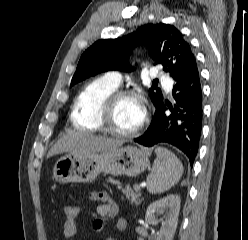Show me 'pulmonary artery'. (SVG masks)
Masks as SVG:
<instances>
[{"label": "pulmonary artery", "instance_id": "pulmonary-artery-1", "mask_svg": "<svg viewBox=\"0 0 248 240\" xmlns=\"http://www.w3.org/2000/svg\"><path fill=\"white\" fill-rule=\"evenodd\" d=\"M151 75L155 78H158L161 81L166 79V76L162 72L158 71L156 68H152ZM104 78L106 79L108 83H110L111 85L115 87H118L122 82V78L120 74L114 71L106 73ZM169 89L170 87H167V90Z\"/></svg>", "mask_w": 248, "mask_h": 240}]
</instances>
